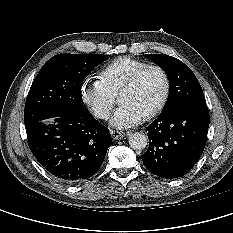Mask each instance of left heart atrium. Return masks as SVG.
Wrapping results in <instances>:
<instances>
[{
  "label": "left heart atrium",
  "instance_id": "1",
  "mask_svg": "<svg viewBox=\"0 0 233 233\" xmlns=\"http://www.w3.org/2000/svg\"><path fill=\"white\" fill-rule=\"evenodd\" d=\"M142 117L133 108L126 104H122L115 112L111 123L114 126L125 128L138 124Z\"/></svg>",
  "mask_w": 233,
  "mask_h": 233
}]
</instances>
